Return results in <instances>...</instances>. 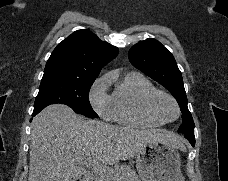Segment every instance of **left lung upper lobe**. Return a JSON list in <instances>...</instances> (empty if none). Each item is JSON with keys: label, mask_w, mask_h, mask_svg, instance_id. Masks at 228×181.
<instances>
[{"label": "left lung upper lobe", "mask_w": 228, "mask_h": 181, "mask_svg": "<svg viewBox=\"0 0 228 181\" xmlns=\"http://www.w3.org/2000/svg\"><path fill=\"white\" fill-rule=\"evenodd\" d=\"M128 56L132 65L163 85L176 98L183 113L178 132L194 131L182 74L173 55L159 41L149 38L132 46Z\"/></svg>", "instance_id": "left-lung-upper-lobe-1"}]
</instances>
